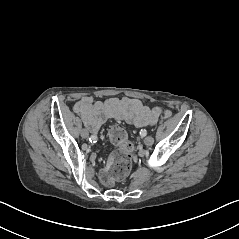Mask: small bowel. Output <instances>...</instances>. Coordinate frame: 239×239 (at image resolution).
<instances>
[{"mask_svg": "<svg viewBox=\"0 0 239 239\" xmlns=\"http://www.w3.org/2000/svg\"><path fill=\"white\" fill-rule=\"evenodd\" d=\"M74 111L80 115L84 125L96 133L108 120L125 121L135 127L154 125L161 114V108H149L133 98H112L94 101L92 97H82L74 104Z\"/></svg>", "mask_w": 239, "mask_h": 239, "instance_id": "1", "label": "small bowel"}]
</instances>
